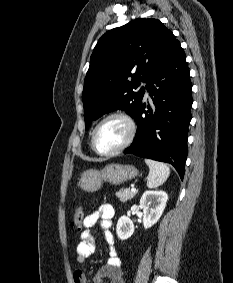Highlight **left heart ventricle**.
Here are the masks:
<instances>
[{
    "instance_id": "obj_1",
    "label": "left heart ventricle",
    "mask_w": 233,
    "mask_h": 283,
    "mask_svg": "<svg viewBox=\"0 0 233 283\" xmlns=\"http://www.w3.org/2000/svg\"><path fill=\"white\" fill-rule=\"evenodd\" d=\"M128 135V126L122 119L113 118L101 125L95 144L98 150L109 152L119 147Z\"/></svg>"
}]
</instances>
